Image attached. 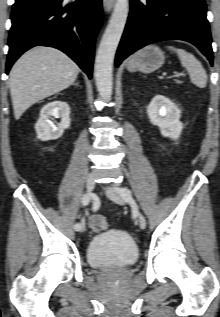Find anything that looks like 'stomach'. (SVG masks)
<instances>
[{"mask_svg": "<svg viewBox=\"0 0 220 317\" xmlns=\"http://www.w3.org/2000/svg\"><path fill=\"white\" fill-rule=\"evenodd\" d=\"M164 60V53L159 47L147 45L130 57L127 69L130 72L151 73L159 69L163 65Z\"/></svg>", "mask_w": 220, "mask_h": 317, "instance_id": "stomach-1", "label": "stomach"}]
</instances>
